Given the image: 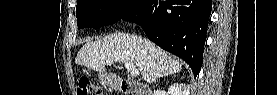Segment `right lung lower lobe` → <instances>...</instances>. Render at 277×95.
I'll list each match as a JSON object with an SVG mask.
<instances>
[{"label": "right lung lower lobe", "instance_id": "98d812e1", "mask_svg": "<svg viewBox=\"0 0 277 95\" xmlns=\"http://www.w3.org/2000/svg\"><path fill=\"white\" fill-rule=\"evenodd\" d=\"M210 14L211 0H140L122 19L139 24L152 42L185 60L196 78Z\"/></svg>", "mask_w": 277, "mask_h": 95}]
</instances>
